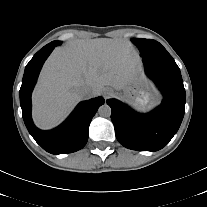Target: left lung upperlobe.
<instances>
[{
    "mask_svg": "<svg viewBox=\"0 0 207 207\" xmlns=\"http://www.w3.org/2000/svg\"><path fill=\"white\" fill-rule=\"evenodd\" d=\"M132 42L139 48L142 57L170 55L166 49L155 40L132 38Z\"/></svg>",
    "mask_w": 207,
    "mask_h": 207,
    "instance_id": "left-lung-upper-lobe-1",
    "label": "left lung upper lobe"
}]
</instances>
